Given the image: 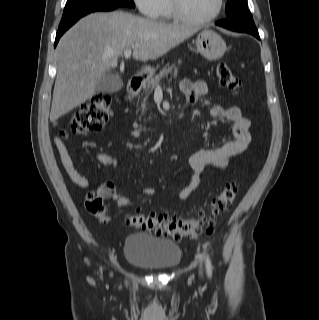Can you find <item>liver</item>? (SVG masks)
<instances>
[{"label": "liver", "mask_w": 319, "mask_h": 320, "mask_svg": "<svg viewBox=\"0 0 319 320\" xmlns=\"http://www.w3.org/2000/svg\"><path fill=\"white\" fill-rule=\"evenodd\" d=\"M197 31L188 25L162 23L122 11L81 18L56 48L57 77L50 120L92 98L99 80L117 67L125 50L133 49L136 60H155Z\"/></svg>", "instance_id": "1"}]
</instances>
